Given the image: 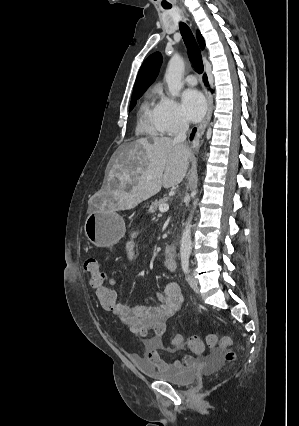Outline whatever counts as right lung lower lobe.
<instances>
[{
  "label": "right lung lower lobe",
  "instance_id": "1",
  "mask_svg": "<svg viewBox=\"0 0 299 426\" xmlns=\"http://www.w3.org/2000/svg\"><path fill=\"white\" fill-rule=\"evenodd\" d=\"M207 80V77L206 76H204V81H206ZM196 131V128L193 130V133L191 134V138H193V136H194V132Z\"/></svg>",
  "mask_w": 299,
  "mask_h": 426
}]
</instances>
